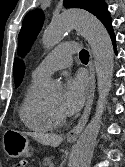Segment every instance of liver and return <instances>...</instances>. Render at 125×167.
<instances>
[{
    "instance_id": "liver-1",
    "label": "liver",
    "mask_w": 125,
    "mask_h": 167,
    "mask_svg": "<svg viewBox=\"0 0 125 167\" xmlns=\"http://www.w3.org/2000/svg\"><path fill=\"white\" fill-rule=\"evenodd\" d=\"M20 133L26 136H31L32 138H34L43 145H48L52 147L59 146L63 141L62 136L57 134L37 133V132H20Z\"/></svg>"
}]
</instances>
